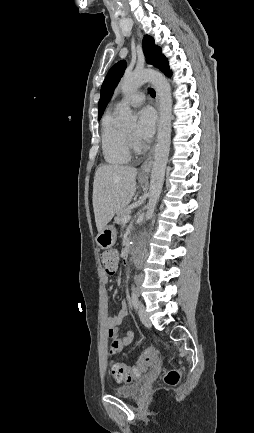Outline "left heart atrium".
I'll return each mask as SVG.
<instances>
[{
  "mask_svg": "<svg viewBox=\"0 0 254 433\" xmlns=\"http://www.w3.org/2000/svg\"><path fill=\"white\" fill-rule=\"evenodd\" d=\"M156 124V114L150 107H145L138 113L135 136L139 141H146L152 137Z\"/></svg>",
  "mask_w": 254,
  "mask_h": 433,
  "instance_id": "39dd6f15",
  "label": "left heart atrium"
}]
</instances>
